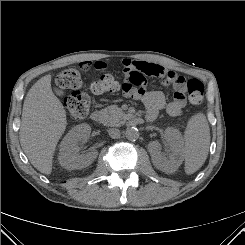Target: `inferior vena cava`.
Returning <instances> with one entry per match:
<instances>
[{"label": "inferior vena cava", "instance_id": "obj_1", "mask_svg": "<svg viewBox=\"0 0 245 245\" xmlns=\"http://www.w3.org/2000/svg\"><path fill=\"white\" fill-rule=\"evenodd\" d=\"M109 136L113 139H117L120 137V130L117 128L108 129Z\"/></svg>", "mask_w": 245, "mask_h": 245}]
</instances>
